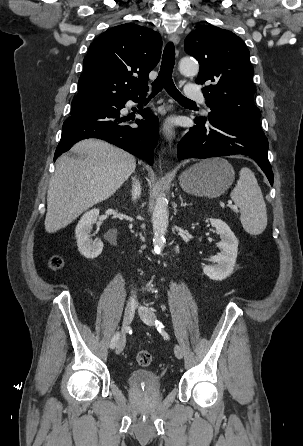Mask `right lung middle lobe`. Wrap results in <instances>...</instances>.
Masks as SVG:
<instances>
[{"label": "right lung middle lobe", "mask_w": 303, "mask_h": 446, "mask_svg": "<svg viewBox=\"0 0 303 446\" xmlns=\"http://www.w3.org/2000/svg\"><path fill=\"white\" fill-rule=\"evenodd\" d=\"M89 106H90V104L88 102H86V101L79 100V99H74L72 101L71 114L90 110Z\"/></svg>", "instance_id": "obj_1"}]
</instances>
